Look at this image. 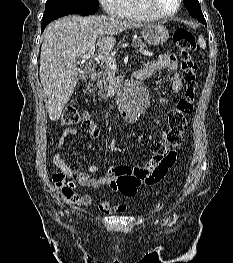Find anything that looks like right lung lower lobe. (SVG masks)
<instances>
[{"label": "right lung lower lobe", "mask_w": 233, "mask_h": 263, "mask_svg": "<svg viewBox=\"0 0 233 263\" xmlns=\"http://www.w3.org/2000/svg\"><path fill=\"white\" fill-rule=\"evenodd\" d=\"M83 16L89 15L88 13L82 14ZM50 22L48 21H42V29L41 32L45 29V27L49 24Z\"/></svg>", "instance_id": "1"}]
</instances>
